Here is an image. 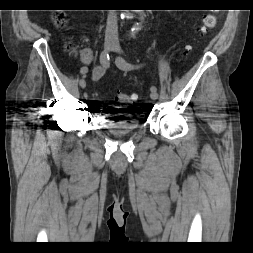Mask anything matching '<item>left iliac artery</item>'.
<instances>
[{
  "label": "left iliac artery",
  "mask_w": 253,
  "mask_h": 253,
  "mask_svg": "<svg viewBox=\"0 0 253 253\" xmlns=\"http://www.w3.org/2000/svg\"><path fill=\"white\" fill-rule=\"evenodd\" d=\"M117 65L119 68L124 69V70H131V69L140 67L138 65H133L131 63H128L125 59L121 57L117 58ZM152 90H157L156 86H152L151 91Z\"/></svg>",
  "instance_id": "1"
}]
</instances>
